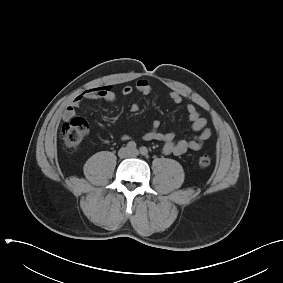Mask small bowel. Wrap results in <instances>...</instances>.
I'll list each match as a JSON object with an SVG mask.
<instances>
[{"instance_id":"small-bowel-1","label":"small bowel","mask_w":283,"mask_h":283,"mask_svg":"<svg viewBox=\"0 0 283 283\" xmlns=\"http://www.w3.org/2000/svg\"><path fill=\"white\" fill-rule=\"evenodd\" d=\"M136 90L144 95H148L152 91V86L148 80L142 78L139 79L135 87L126 85L122 88V94L128 96ZM169 98L175 104L182 103V96L176 92H169ZM84 99H100L106 102H114L117 99V94L111 86H100L91 88L77 95L64 109L62 118L65 121H69L75 116L76 109L80 106ZM132 113L139 111V106L133 104L130 107ZM186 112L188 119L191 122V128L197 134L190 139L176 140V135L172 131L162 132L160 131V122L154 121L152 128L143 135V139L146 141H159L162 143V152L166 155H182L189 150L198 151L202 148L204 142L211 137L212 131L208 127V121L204 118L197 108L193 104L186 105ZM122 140H130V136L123 135Z\"/></svg>"}]
</instances>
